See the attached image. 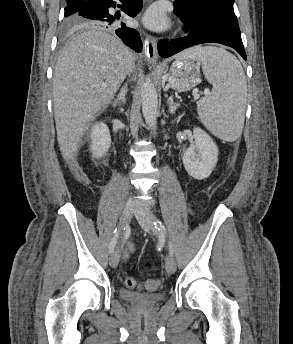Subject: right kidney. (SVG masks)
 Segmentation results:
<instances>
[{
  "label": "right kidney",
  "mask_w": 293,
  "mask_h": 344,
  "mask_svg": "<svg viewBox=\"0 0 293 344\" xmlns=\"http://www.w3.org/2000/svg\"><path fill=\"white\" fill-rule=\"evenodd\" d=\"M90 151L95 158H102L111 146V136L107 125L98 122L93 125L90 133Z\"/></svg>",
  "instance_id": "1"
}]
</instances>
